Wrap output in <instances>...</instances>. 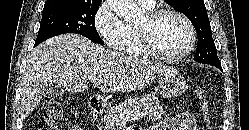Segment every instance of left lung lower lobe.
I'll return each mask as SVG.
<instances>
[{
    "label": "left lung lower lobe",
    "instance_id": "obj_1",
    "mask_svg": "<svg viewBox=\"0 0 249 130\" xmlns=\"http://www.w3.org/2000/svg\"><path fill=\"white\" fill-rule=\"evenodd\" d=\"M215 67L219 68L222 71V67L221 66H215Z\"/></svg>",
    "mask_w": 249,
    "mask_h": 130
}]
</instances>
